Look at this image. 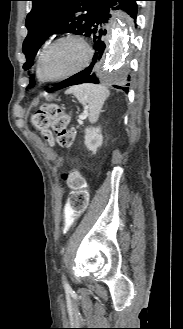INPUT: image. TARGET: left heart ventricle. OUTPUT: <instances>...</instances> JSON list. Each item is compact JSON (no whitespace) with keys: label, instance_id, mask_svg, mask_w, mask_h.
<instances>
[{"label":"left heart ventricle","instance_id":"left-heart-ventricle-1","mask_svg":"<svg viewBox=\"0 0 183 329\" xmlns=\"http://www.w3.org/2000/svg\"><path fill=\"white\" fill-rule=\"evenodd\" d=\"M86 57L83 45L77 40H65L53 46L46 54L43 70L54 78L78 68Z\"/></svg>","mask_w":183,"mask_h":329}]
</instances>
